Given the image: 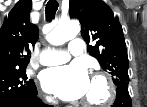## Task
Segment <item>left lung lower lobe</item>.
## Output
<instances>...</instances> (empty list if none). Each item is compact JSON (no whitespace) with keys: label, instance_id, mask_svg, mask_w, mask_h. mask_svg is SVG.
I'll list each match as a JSON object with an SVG mask.
<instances>
[{"label":"left lung lower lobe","instance_id":"1","mask_svg":"<svg viewBox=\"0 0 147 107\" xmlns=\"http://www.w3.org/2000/svg\"><path fill=\"white\" fill-rule=\"evenodd\" d=\"M117 96L112 107H132L131 97L128 92V83L117 86Z\"/></svg>","mask_w":147,"mask_h":107}]
</instances>
